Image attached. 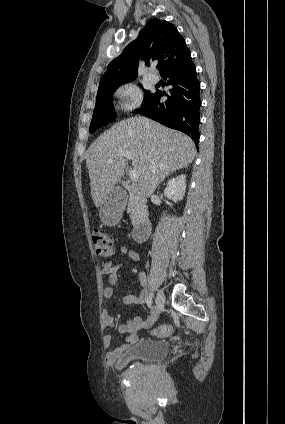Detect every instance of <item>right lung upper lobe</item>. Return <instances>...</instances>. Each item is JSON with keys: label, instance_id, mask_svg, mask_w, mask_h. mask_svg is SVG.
Returning a JSON list of instances; mask_svg holds the SVG:
<instances>
[{"label": "right lung upper lobe", "instance_id": "obj_1", "mask_svg": "<svg viewBox=\"0 0 285 424\" xmlns=\"http://www.w3.org/2000/svg\"><path fill=\"white\" fill-rule=\"evenodd\" d=\"M138 56L144 59L147 65L150 64V59H158L161 64L160 74L163 76L184 63L191 54L174 25L165 20L152 19L141 30L136 40L110 62L100 79L99 88L134 80L137 77Z\"/></svg>", "mask_w": 285, "mask_h": 424}]
</instances>
